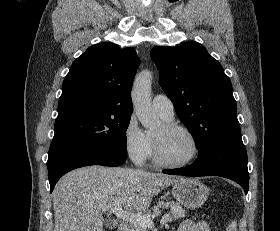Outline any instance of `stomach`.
Segmentation results:
<instances>
[{
	"instance_id": "1",
	"label": "stomach",
	"mask_w": 280,
	"mask_h": 231,
	"mask_svg": "<svg viewBox=\"0 0 280 231\" xmlns=\"http://www.w3.org/2000/svg\"><path fill=\"white\" fill-rule=\"evenodd\" d=\"M172 193L178 203H182L189 209H197L205 203L209 189L199 179L178 177L173 183Z\"/></svg>"
}]
</instances>
